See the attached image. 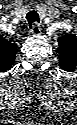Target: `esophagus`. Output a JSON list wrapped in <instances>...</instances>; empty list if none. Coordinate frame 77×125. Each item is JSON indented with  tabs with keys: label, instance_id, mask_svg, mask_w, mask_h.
<instances>
[{
	"label": "esophagus",
	"instance_id": "1",
	"mask_svg": "<svg viewBox=\"0 0 77 125\" xmlns=\"http://www.w3.org/2000/svg\"><path fill=\"white\" fill-rule=\"evenodd\" d=\"M30 32H31V34H33V35L39 34V33L41 32V27H40V25H39L37 22L33 23Z\"/></svg>",
	"mask_w": 77,
	"mask_h": 125
}]
</instances>
